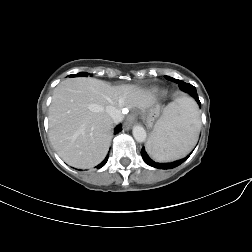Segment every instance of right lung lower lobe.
<instances>
[{"label": "right lung lower lobe", "instance_id": "obj_1", "mask_svg": "<svg viewBox=\"0 0 252 252\" xmlns=\"http://www.w3.org/2000/svg\"><path fill=\"white\" fill-rule=\"evenodd\" d=\"M121 131V125H118L116 128H115V130H114V134H117V133H119ZM108 156H109V154L107 155V157L102 161V163H100L96 168L97 169H99V168H101L102 166H104L105 165V163L107 162V160H108Z\"/></svg>", "mask_w": 252, "mask_h": 252}]
</instances>
